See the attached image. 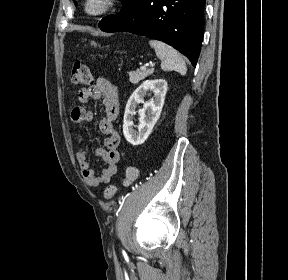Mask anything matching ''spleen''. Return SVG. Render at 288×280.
<instances>
[{
	"instance_id": "spleen-1",
	"label": "spleen",
	"mask_w": 288,
	"mask_h": 280,
	"mask_svg": "<svg viewBox=\"0 0 288 280\" xmlns=\"http://www.w3.org/2000/svg\"><path fill=\"white\" fill-rule=\"evenodd\" d=\"M149 45L154 49L157 57L161 59V68L164 71L175 70L181 75L186 74L185 62L173 47L157 40H150Z\"/></svg>"
}]
</instances>
